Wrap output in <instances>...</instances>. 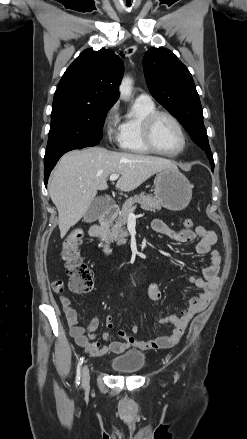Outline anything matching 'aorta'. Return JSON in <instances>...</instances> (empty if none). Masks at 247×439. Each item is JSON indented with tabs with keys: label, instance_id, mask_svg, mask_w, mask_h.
<instances>
[{
	"label": "aorta",
	"instance_id": "1",
	"mask_svg": "<svg viewBox=\"0 0 247 439\" xmlns=\"http://www.w3.org/2000/svg\"><path fill=\"white\" fill-rule=\"evenodd\" d=\"M132 84L133 81L130 77H124L122 79V82L119 86L120 97L122 99H127L128 97H130L132 92Z\"/></svg>",
	"mask_w": 247,
	"mask_h": 439
}]
</instances>
